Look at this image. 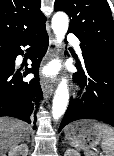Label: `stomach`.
<instances>
[{"label": "stomach", "mask_w": 114, "mask_h": 156, "mask_svg": "<svg viewBox=\"0 0 114 156\" xmlns=\"http://www.w3.org/2000/svg\"><path fill=\"white\" fill-rule=\"evenodd\" d=\"M97 121H76L65 128V138L73 147L83 149L96 156L93 150L101 143V135L96 129Z\"/></svg>", "instance_id": "stomach-1"}]
</instances>
